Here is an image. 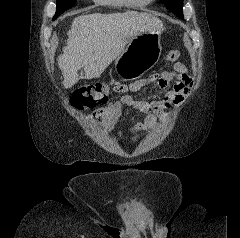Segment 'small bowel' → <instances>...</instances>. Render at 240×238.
Wrapping results in <instances>:
<instances>
[{
	"label": "small bowel",
	"mask_w": 240,
	"mask_h": 238,
	"mask_svg": "<svg viewBox=\"0 0 240 238\" xmlns=\"http://www.w3.org/2000/svg\"><path fill=\"white\" fill-rule=\"evenodd\" d=\"M175 80V84L169 89L164 97L158 101L146 102L133 98L131 95H124L120 100L112 102L105 107L99 108L92 114L94 118L102 119L107 125L109 130H113L119 117L122 115L124 106H131L140 113L146 114L143 122L135 124L129 133L132 139L137 132L147 129H156L159 121L164 120L166 110L174 105L179 106L182 104L188 95L192 86V79L188 74L187 67L180 62L173 65L172 70L163 71L159 76H152L146 79H140L129 85L116 84L113 88L118 93H135L144 86L156 82L159 88H166L170 83ZM122 135V132H118Z\"/></svg>",
	"instance_id": "1"
}]
</instances>
